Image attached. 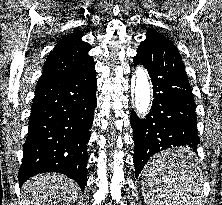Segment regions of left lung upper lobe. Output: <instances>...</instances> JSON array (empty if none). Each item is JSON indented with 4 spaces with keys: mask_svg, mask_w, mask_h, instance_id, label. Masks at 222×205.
<instances>
[{
    "mask_svg": "<svg viewBox=\"0 0 222 205\" xmlns=\"http://www.w3.org/2000/svg\"><path fill=\"white\" fill-rule=\"evenodd\" d=\"M148 33H155V31L148 30V31H147V34H148Z\"/></svg>",
    "mask_w": 222,
    "mask_h": 205,
    "instance_id": "left-lung-upper-lobe-1",
    "label": "left lung upper lobe"
}]
</instances>
